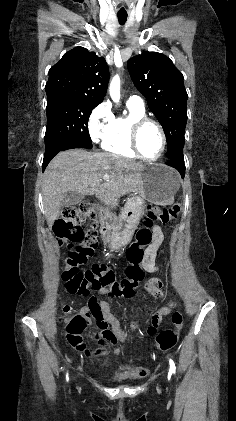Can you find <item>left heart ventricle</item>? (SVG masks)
I'll use <instances>...</instances> for the list:
<instances>
[{
    "mask_svg": "<svg viewBox=\"0 0 236 421\" xmlns=\"http://www.w3.org/2000/svg\"><path fill=\"white\" fill-rule=\"evenodd\" d=\"M138 144L142 154L148 158H155L161 150V136L152 124H145L138 134Z\"/></svg>",
    "mask_w": 236,
    "mask_h": 421,
    "instance_id": "1",
    "label": "left heart ventricle"
}]
</instances>
